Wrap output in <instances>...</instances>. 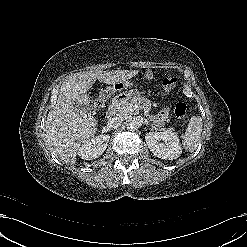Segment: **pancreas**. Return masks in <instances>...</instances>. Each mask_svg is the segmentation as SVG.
Masks as SVG:
<instances>
[{
  "instance_id": "1",
  "label": "pancreas",
  "mask_w": 247,
  "mask_h": 247,
  "mask_svg": "<svg viewBox=\"0 0 247 247\" xmlns=\"http://www.w3.org/2000/svg\"><path fill=\"white\" fill-rule=\"evenodd\" d=\"M128 105H138L140 110H143L145 114H148L151 110V101L140 95L139 92L134 91L129 97L118 99L114 98L111 103V110L116 115H127L126 107Z\"/></svg>"
}]
</instances>
